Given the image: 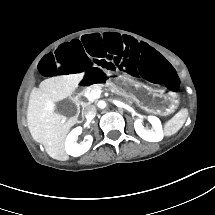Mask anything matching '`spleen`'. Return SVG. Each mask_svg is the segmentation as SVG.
I'll list each match as a JSON object with an SVG mask.
<instances>
[{
    "label": "spleen",
    "mask_w": 215,
    "mask_h": 215,
    "mask_svg": "<svg viewBox=\"0 0 215 215\" xmlns=\"http://www.w3.org/2000/svg\"><path fill=\"white\" fill-rule=\"evenodd\" d=\"M187 113L178 112L171 120H169L164 128L165 135L169 136L176 133L186 120Z\"/></svg>",
    "instance_id": "obj_1"
}]
</instances>
